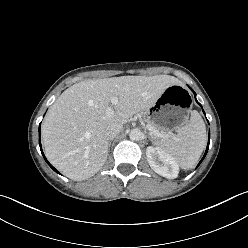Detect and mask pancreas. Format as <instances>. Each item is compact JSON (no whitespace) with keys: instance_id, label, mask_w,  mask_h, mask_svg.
<instances>
[{"instance_id":"1","label":"pancreas","mask_w":248,"mask_h":248,"mask_svg":"<svg viewBox=\"0 0 248 248\" xmlns=\"http://www.w3.org/2000/svg\"><path fill=\"white\" fill-rule=\"evenodd\" d=\"M148 124H149V126L153 127L156 131H158V132L160 131V130L157 129L153 124H151V123H149V122H148ZM155 136H156V135H155Z\"/></svg>"}]
</instances>
